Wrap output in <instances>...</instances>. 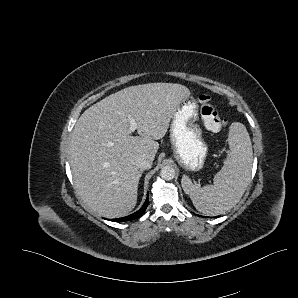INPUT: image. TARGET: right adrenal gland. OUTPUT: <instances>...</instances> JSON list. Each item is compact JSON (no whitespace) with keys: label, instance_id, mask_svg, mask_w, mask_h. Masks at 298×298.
I'll use <instances>...</instances> for the list:
<instances>
[{"label":"right adrenal gland","instance_id":"1","mask_svg":"<svg viewBox=\"0 0 298 298\" xmlns=\"http://www.w3.org/2000/svg\"><path fill=\"white\" fill-rule=\"evenodd\" d=\"M142 173H143V170L140 171V174H141V175H142Z\"/></svg>","mask_w":298,"mask_h":298}]
</instances>
